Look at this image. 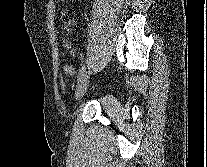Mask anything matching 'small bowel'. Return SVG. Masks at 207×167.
<instances>
[{
  "label": "small bowel",
  "mask_w": 207,
  "mask_h": 167,
  "mask_svg": "<svg viewBox=\"0 0 207 167\" xmlns=\"http://www.w3.org/2000/svg\"><path fill=\"white\" fill-rule=\"evenodd\" d=\"M63 46L71 56L76 55V51L73 49L72 43L68 39L63 40ZM63 70L67 75H70V76H74L77 74V70L72 65H69V64H65L63 66Z\"/></svg>",
  "instance_id": "c3829d8e"
}]
</instances>
